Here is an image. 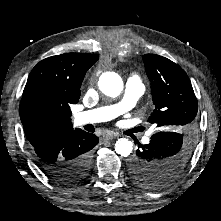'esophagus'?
Here are the masks:
<instances>
[{"label": "esophagus", "mask_w": 221, "mask_h": 221, "mask_svg": "<svg viewBox=\"0 0 221 221\" xmlns=\"http://www.w3.org/2000/svg\"><path fill=\"white\" fill-rule=\"evenodd\" d=\"M119 135L116 134V133H109V134H106L103 136V140H112V139H115L117 138Z\"/></svg>", "instance_id": "34e87169"}]
</instances>
